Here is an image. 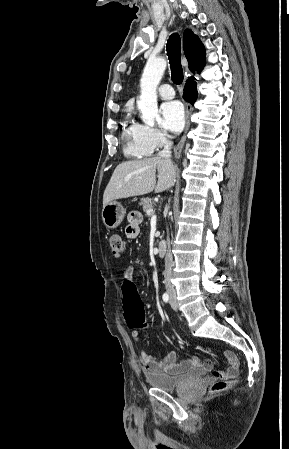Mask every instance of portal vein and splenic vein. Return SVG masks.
Listing matches in <instances>:
<instances>
[{
  "mask_svg": "<svg viewBox=\"0 0 289 449\" xmlns=\"http://www.w3.org/2000/svg\"><path fill=\"white\" fill-rule=\"evenodd\" d=\"M146 213H147V215H152V214H153V209H148V210L146 211Z\"/></svg>",
  "mask_w": 289,
  "mask_h": 449,
  "instance_id": "obj_1",
  "label": "portal vein and splenic vein"
}]
</instances>
